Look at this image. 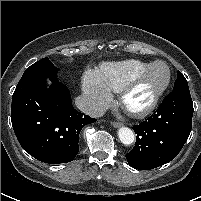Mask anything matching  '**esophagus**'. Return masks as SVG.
Masks as SVG:
<instances>
[{"label": "esophagus", "mask_w": 201, "mask_h": 201, "mask_svg": "<svg viewBox=\"0 0 201 201\" xmlns=\"http://www.w3.org/2000/svg\"><path fill=\"white\" fill-rule=\"evenodd\" d=\"M111 124H112V126L114 128H118V127L122 126V123L121 122H117V121H113Z\"/></svg>", "instance_id": "obj_1"}]
</instances>
